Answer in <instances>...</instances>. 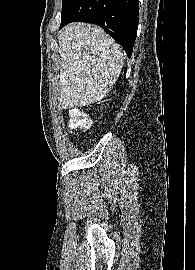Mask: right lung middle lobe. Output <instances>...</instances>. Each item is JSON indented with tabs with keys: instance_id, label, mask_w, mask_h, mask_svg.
Segmentation results:
<instances>
[{
	"instance_id": "obj_1",
	"label": "right lung middle lobe",
	"mask_w": 195,
	"mask_h": 270,
	"mask_svg": "<svg viewBox=\"0 0 195 270\" xmlns=\"http://www.w3.org/2000/svg\"><path fill=\"white\" fill-rule=\"evenodd\" d=\"M73 2V0H62V12L65 11Z\"/></svg>"
}]
</instances>
